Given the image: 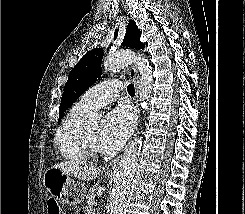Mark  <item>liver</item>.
<instances>
[{
  "mask_svg": "<svg viewBox=\"0 0 245 214\" xmlns=\"http://www.w3.org/2000/svg\"><path fill=\"white\" fill-rule=\"evenodd\" d=\"M52 167L60 169L64 173L82 180L95 179L101 173V169L96 166H79L71 161L59 162Z\"/></svg>",
  "mask_w": 245,
  "mask_h": 214,
  "instance_id": "liver-1",
  "label": "liver"
}]
</instances>
